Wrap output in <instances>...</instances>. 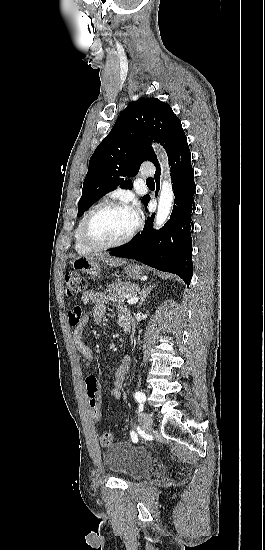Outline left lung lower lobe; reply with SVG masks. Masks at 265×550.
Returning <instances> with one entry per match:
<instances>
[{"label": "left lung lower lobe", "mask_w": 265, "mask_h": 550, "mask_svg": "<svg viewBox=\"0 0 265 550\" xmlns=\"http://www.w3.org/2000/svg\"><path fill=\"white\" fill-rule=\"evenodd\" d=\"M169 164L175 194L170 219L161 229L154 230L153 215L148 217L141 234L124 246L110 249V255L136 259L158 270L177 274L189 286L193 275L191 216L195 209L196 185L187 141L169 158ZM155 181L159 190L160 168H156Z\"/></svg>", "instance_id": "obj_1"}]
</instances>
